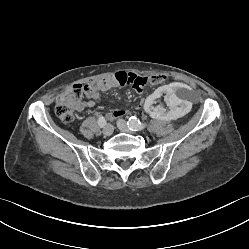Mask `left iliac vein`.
Returning <instances> with one entry per match:
<instances>
[{"instance_id": "left-iliac-vein-1", "label": "left iliac vein", "mask_w": 249, "mask_h": 249, "mask_svg": "<svg viewBox=\"0 0 249 249\" xmlns=\"http://www.w3.org/2000/svg\"><path fill=\"white\" fill-rule=\"evenodd\" d=\"M117 126L118 128L123 131V132H126V133H129L130 132V129L126 123V121H124L123 119H119L117 121Z\"/></svg>"}]
</instances>
